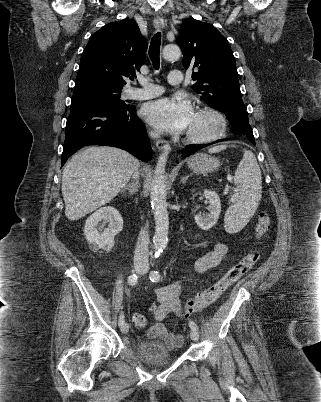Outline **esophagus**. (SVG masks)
I'll list each match as a JSON object with an SVG mask.
<instances>
[{
    "mask_svg": "<svg viewBox=\"0 0 321 402\" xmlns=\"http://www.w3.org/2000/svg\"><path fill=\"white\" fill-rule=\"evenodd\" d=\"M163 24V19L161 17H156L154 19V26L156 29H160ZM156 146L160 151H170V146L166 140H157Z\"/></svg>",
    "mask_w": 321,
    "mask_h": 402,
    "instance_id": "1",
    "label": "esophagus"
}]
</instances>
